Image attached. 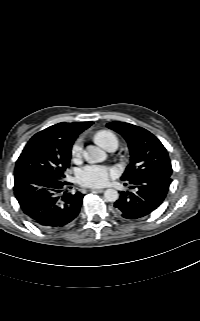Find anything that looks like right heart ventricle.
<instances>
[{"label":"right heart ventricle","mask_w":200,"mask_h":321,"mask_svg":"<svg viewBox=\"0 0 200 321\" xmlns=\"http://www.w3.org/2000/svg\"><path fill=\"white\" fill-rule=\"evenodd\" d=\"M94 139L97 143H99L102 147L104 148H109V147H117L118 146V138L117 136L109 131V130H100L98 131Z\"/></svg>","instance_id":"obj_1"}]
</instances>
